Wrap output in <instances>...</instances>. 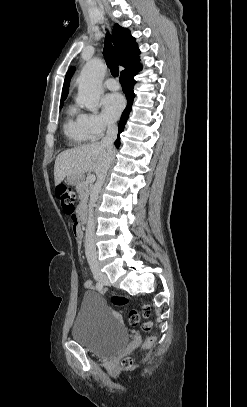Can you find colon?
<instances>
[{"mask_svg":"<svg viewBox=\"0 0 247 407\" xmlns=\"http://www.w3.org/2000/svg\"><path fill=\"white\" fill-rule=\"evenodd\" d=\"M56 195L61 202L62 209L64 213L68 216H73L75 214V195L72 189L66 185H59L56 188ZM129 300L123 295H114L112 297V303L117 307H124L128 304ZM151 314V309L149 306L144 305L141 309H131L128 313V322L133 325H139L143 319H148ZM143 328L146 331L151 330L150 322H145ZM154 343V337H149L145 342V347L149 348ZM133 359L125 358L122 362V367L124 369H129L133 366Z\"/></svg>","mask_w":247,"mask_h":407,"instance_id":"5ec220e1","label":"colon"}]
</instances>
